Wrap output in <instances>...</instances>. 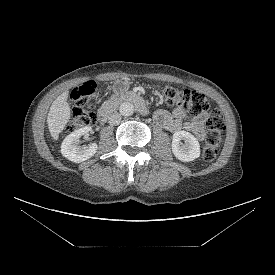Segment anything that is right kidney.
Masks as SVG:
<instances>
[{"label": "right kidney", "mask_w": 275, "mask_h": 275, "mask_svg": "<svg viewBox=\"0 0 275 275\" xmlns=\"http://www.w3.org/2000/svg\"><path fill=\"white\" fill-rule=\"evenodd\" d=\"M91 131V127L85 126L69 134L62 142L61 153L68 160L80 163L91 158L97 152V144L79 146V138Z\"/></svg>", "instance_id": "obj_1"}]
</instances>
